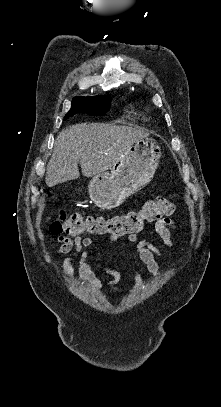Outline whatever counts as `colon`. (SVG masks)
<instances>
[{
  "label": "colon",
  "instance_id": "5ec220e1",
  "mask_svg": "<svg viewBox=\"0 0 221 407\" xmlns=\"http://www.w3.org/2000/svg\"><path fill=\"white\" fill-rule=\"evenodd\" d=\"M176 195L159 196L147 202L139 211H130L113 217H83L81 214H61L49 231L53 235L80 236L83 233L121 237L139 233L147 223L166 217L174 211Z\"/></svg>",
  "mask_w": 221,
  "mask_h": 407
}]
</instances>
